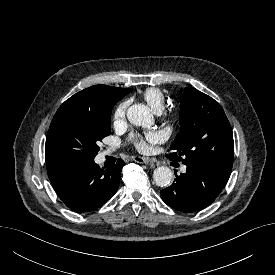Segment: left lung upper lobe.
<instances>
[{
	"label": "left lung upper lobe",
	"mask_w": 275,
	"mask_h": 275,
	"mask_svg": "<svg viewBox=\"0 0 275 275\" xmlns=\"http://www.w3.org/2000/svg\"><path fill=\"white\" fill-rule=\"evenodd\" d=\"M180 126L166 156L183 164L205 162L232 167L234 141L220 104L193 87L180 97Z\"/></svg>",
	"instance_id": "5c2ea615"
}]
</instances>
